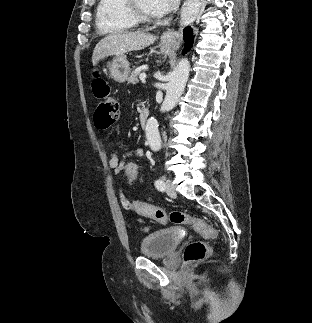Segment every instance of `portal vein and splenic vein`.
<instances>
[{
  "mask_svg": "<svg viewBox=\"0 0 312 323\" xmlns=\"http://www.w3.org/2000/svg\"><path fill=\"white\" fill-rule=\"evenodd\" d=\"M139 78L141 82H145L146 74H140Z\"/></svg>",
  "mask_w": 312,
  "mask_h": 323,
  "instance_id": "obj_1",
  "label": "portal vein and splenic vein"
}]
</instances>
